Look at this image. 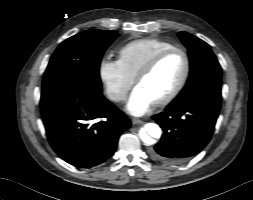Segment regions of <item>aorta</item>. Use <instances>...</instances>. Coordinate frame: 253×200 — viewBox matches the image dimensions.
I'll return each instance as SVG.
<instances>
[{"label": "aorta", "mask_w": 253, "mask_h": 200, "mask_svg": "<svg viewBox=\"0 0 253 200\" xmlns=\"http://www.w3.org/2000/svg\"><path fill=\"white\" fill-rule=\"evenodd\" d=\"M161 128L155 123H148L140 131V138L146 144H151L153 138H160Z\"/></svg>", "instance_id": "1"}]
</instances>
